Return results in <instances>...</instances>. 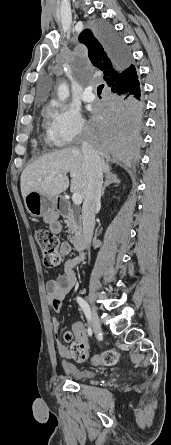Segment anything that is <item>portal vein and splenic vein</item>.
Instances as JSON below:
<instances>
[{"label":"portal vein and splenic vein","instance_id":"obj_1","mask_svg":"<svg viewBox=\"0 0 171 445\" xmlns=\"http://www.w3.org/2000/svg\"><path fill=\"white\" fill-rule=\"evenodd\" d=\"M65 176L66 175H63V174L58 175L59 178H63ZM82 199L83 198L79 193H73L72 200L75 205H80L82 203Z\"/></svg>","mask_w":171,"mask_h":445}]
</instances>
